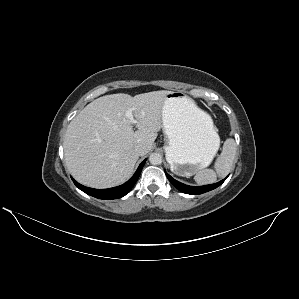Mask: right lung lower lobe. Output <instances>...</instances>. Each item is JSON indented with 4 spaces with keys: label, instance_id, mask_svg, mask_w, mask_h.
<instances>
[{
    "label": "right lung lower lobe",
    "instance_id": "98d812e1",
    "mask_svg": "<svg viewBox=\"0 0 299 299\" xmlns=\"http://www.w3.org/2000/svg\"><path fill=\"white\" fill-rule=\"evenodd\" d=\"M146 162V159L139 165L137 171L132 176V178L124 183L123 185H120L118 187L109 188V189H93L89 187H85L78 182H76L73 178L74 184L83 192H85L88 195H91L93 197H96L98 199H117L125 196L129 191L132 189V187L135 185L136 181L138 180L140 173L142 171V168Z\"/></svg>",
    "mask_w": 299,
    "mask_h": 299
}]
</instances>
